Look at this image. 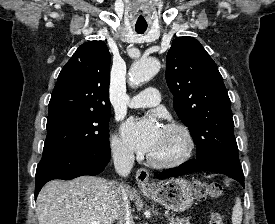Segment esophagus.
<instances>
[{
	"mask_svg": "<svg viewBox=\"0 0 275 224\" xmlns=\"http://www.w3.org/2000/svg\"><path fill=\"white\" fill-rule=\"evenodd\" d=\"M136 181L140 188H150L151 187V184L149 181V172L144 168H140L137 170Z\"/></svg>",
	"mask_w": 275,
	"mask_h": 224,
	"instance_id": "esophagus-1",
	"label": "esophagus"
}]
</instances>
